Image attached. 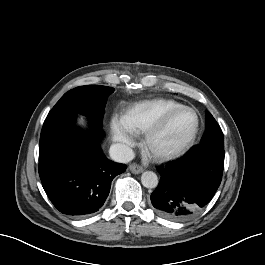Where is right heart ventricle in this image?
Segmentation results:
<instances>
[{"label": "right heart ventricle", "mask_w": 265, "mask_h": 265, "mask_svg": "<svg viewBox=\"0 0 265 265\" xmlns=\"http://www.w3.org/2000/svg\"><path fill=\"white\" fill-rule=\"evenodd\" d=\"M180 106L182 104L173 99L147 100L128 108L121 115L120 121L132 135H140L144 134L164 112Z\"/></svg>", "instance_id": "1"}]
</instances>
